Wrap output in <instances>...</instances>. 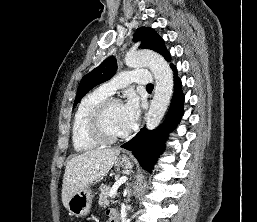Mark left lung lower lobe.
Masks as SVG:
<instances>
[{
	"label": "left lung lower lobe",
	"mask_w": 257,
	"mask_h": 222,
	"mask_svg": "<svg viewBox=\"0 0 257 222\" xmlns=\"http://www.w3.org/2000/svg\"><path fill=\"white\" fill-rule=\"evenodd\" d=\"M170 66L175 71L174 94L164 123L153 131L142 128L134 138L121 145L122 148L132 151L141 166L148 171H151L154 162L163 152L168 132L179 123L183 115L184 95L181 81L177 77L175 66L173 64Z\"/></svg>",
	"instance_id": "1"
}]
</instances>
